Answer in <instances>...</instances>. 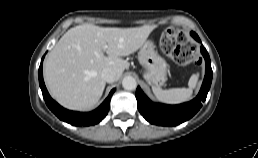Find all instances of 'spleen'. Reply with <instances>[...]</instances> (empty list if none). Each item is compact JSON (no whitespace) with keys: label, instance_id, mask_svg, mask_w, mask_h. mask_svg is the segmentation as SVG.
Returning a JSON list of instances; mask_svg holds the SVG:
<instances>
[{"label":"spleen","instance_id":"spleen-1","mask_svg":"<svg viewBox=\"0 0 258 158\" xmlns=\"http://www.w3.org/2000/svg\"><path fill=\"white\" fill-rule=\"evenodd\" d=\"M199 75L193 74L188 82V88H173L163 90L160 87L152 86L155 97L167 104H179L188 101L192 97L193 89L196 87Z\"/></svg>","mask_w":258,"mask_h":158}]
</instances>
